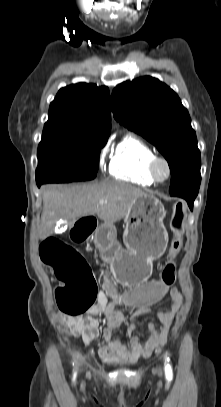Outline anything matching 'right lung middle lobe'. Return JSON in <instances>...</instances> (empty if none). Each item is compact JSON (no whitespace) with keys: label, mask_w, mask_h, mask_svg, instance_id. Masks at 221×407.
<instances>
[{"label":"right lung middle lobe","mask_w":221,"mask_h":407,"mask_svg":"<svg viewBox=\"0 0 221 407\" xmlns=\"http://www.w3.org/2000/svg\"><path fill=\"white\" fill-rule=\"evenodd\" d=\"M105 143L68 135H42L36 181L62 183L94 179Z\"/></svg>","instance_id":"1"}]
</instances>
